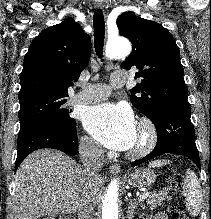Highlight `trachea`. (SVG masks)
<instances>
[{"mask_svg": "<svg viewBox=\"0 0 211 219\" xmlns=\"http://www.w3.org/2000/svg\"><path fill=\"white\" fill-rule=\"evenodd\" d=\"M93 26H94V47L95 52L101 61L103 57V46H104V35H105V22L102 10L94 13L93 16Z\"/></svg>", "mask_w": 211, "mask_h": 219, "instance_id": "3493384b", "label": "trachea"}]
</instances>
